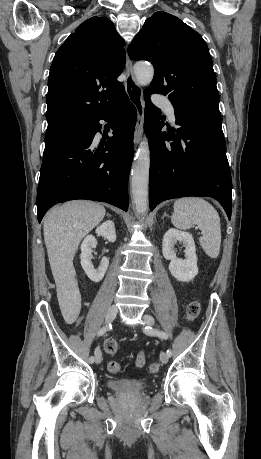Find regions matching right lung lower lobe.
<instances>
[{
	"mask_svg": "<svg viewBox=\"0 0 261 459\" xmlns=\"http://www.w3.org/2000/svg\"><path fill=\"white\" fill-rule=\"evenodd\" d=\"M113 110H117L113 136L96 150L93 139L102 127L99 120H106ZM136 119V108L125 93L91 120L85 133L43 156L37 192L39 222L56 203L74 199L107 202L128 210V176Z\"/></svg>",
	"mask_w": 261,
	"mask_h": 459,
	"instance_id": "1",
	"label": "right lung lower lobe"
}]
</instances>
